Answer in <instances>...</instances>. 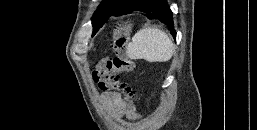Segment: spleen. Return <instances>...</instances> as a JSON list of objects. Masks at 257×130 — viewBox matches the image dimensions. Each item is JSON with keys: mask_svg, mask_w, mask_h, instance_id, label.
Instances as JSON below:
<instances>
[{"mask_svg": "<svg viewBox=\"0 0 257 130\" xmlns=\"http://www.w3.org/2000/svg\"><path fill=\"white\" fill-rule=\"evenodd\" d=\"M174 52V44L168 35L157 27L143 28L132 37L127 48L130 59L147 62H167Z\"/></svg>", "mask_w": 257, "mask_h": 130, "instance_id": "3e777b00", "label": "spleen"}]
</instances>
